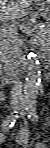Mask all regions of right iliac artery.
Returning a JSON list of instances; mask_svg holds the SVG:
<instances>
[{"label":"right iliac artery","instance_id":"obj_1","mask_svg":"<svg viewBox=\"0 0 50 148\" xmlns=\"http://www.w3.org/2000/svg\"><path fill=\"white\" fill-rule=\"evenodd\" d=\"M26 108H27L26 103H22L17 111H14L12 114H10L7 117L6 120H4L2 128L5 130L11 128L15 124L16 120L19 118V115L22 113V111Z\"/></svg>","mask_w":50,"mask_h":148}]
</instances>
